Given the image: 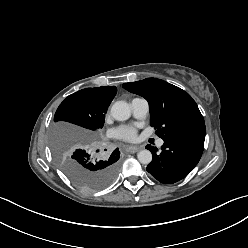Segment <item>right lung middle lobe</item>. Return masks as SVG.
I'll return each mask as SVG.
<instances>
[{"mask_svg": "<svg viewBox=\"0 0 248 248\" xmlns=\"http://www.w3.org/2000/svg\"><path fill=\"white\" fill-rule=\"evenodd\" d=\"M109 103L89 97L84 90L69 95L58 107L54 121H67L92 131L104 125ZM91 134V133H90ZM96 152H99L97 150ZM54 155L63 172L86 191L106 188L115 179L119 168L117 153L98 156L90 149L71 152L54 144Z\"/></svg>", "mask_w": 248, "mask_h": 248, "instance_id": "dd1d6c3e", "label": "right lung middle lobe"}]
</instances>
